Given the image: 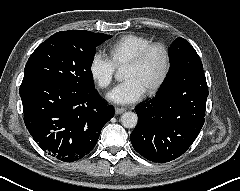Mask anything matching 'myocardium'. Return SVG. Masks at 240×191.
Wrapping results in <instances>:
<instances>
[{
  "label": "myocardium",
  "instance_id": "obj_1",
  "mask_svg": "<svg viewBox=\"0 0 240 191\" xmlns=\"http://www.w3.org/2000/svg\"><path fill=\"white\" fill-rule=\"evenodd\" d=\"M155 49H159L163 53V70L159 79L147 89V93L153 94L157 92L167 81L171 68V54L168 46L162 42H152L142 48L138 53H136L132 58H130L126 64L139 65L141 64L148 55Z\"/></svg>",
  "mask_w": 240,
  "mask_h": 191
}]
</instances>
